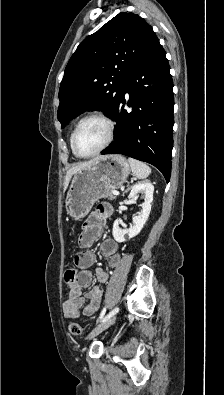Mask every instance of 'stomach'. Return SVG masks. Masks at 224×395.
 Segmentation results:
<instances>
[{
  "mask_svg": "<svg viewBox=\"0 0 224 395\" xmlns=\"http://www.w3.org/2000/svg\"><path fill=\"white\" fill-rule=\"evenodd\" d=\"M130 171L125 157L107 155L76 172L66 197L67 214L74 219L85 217L97 200L123 185Z\"/></svg>",
  "mask_w": 224,
  "mask_h": 395,
  "instance_id": "1",
  "label": "stomach"
}]
</instances>
